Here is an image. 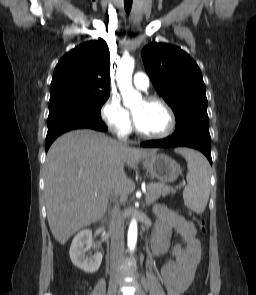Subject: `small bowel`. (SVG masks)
I'll return each instance as SVG.
<instances>
[{
	"label": "small bowel",
	"mask_w": 256,
	"mask_h": 295,
	"mask_svg": "<svg viewBox=\"0 0 256 295\" xmlns=\"http://www.w3.org/2000/svg\"><path fill=\"white\" fill-rule=\"evenodd\" d=\"M156 223L151 242L155 256L164 253L169 246L171 229H175L182 243L173 249V258L159 269V279L167 295H181L191 284L195 266L200 258V243L192 222L166 206L155 209Z\"/></svg>",
	"instance_id": "obj_1"
}]
</instances>
